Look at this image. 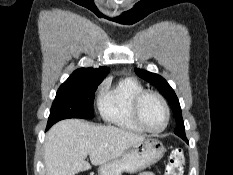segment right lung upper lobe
Returning a JSON list of instances; mask_svg holds the SVG:
<instances>
[{
	"instance_id": "cb5924a9",
	"label": "right lung upper lobe",
	"mask_w": 233,
	"mask_h": 175,
	"mask_svg": "<svg viewBox=\"0 0 233 175\" xmlns=\"http://www.w3.org/2000/svg\"><path fill=\"white\" fill-rule=\"evenodd\" d=\"M109 72V68H79L64 83H74L87 80H103Z\"/></svg>"
}]
</instances>
